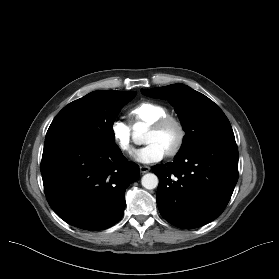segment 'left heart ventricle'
Instances as JSON below:
<instances>
[{"instance_id":"b2bd125f","label":"left heart ventricle","mask_w":279,"mask_h":279,"mask_svg":"<svg viewBox=\"0 0 279 279\" xmlns=\"http://www.w3.org/2000/svg\"><path fill=\"white\" fill-rule=\"evenodd\" d=\"M177 136L178 131L173 125H168L160 131L149 129L145 137V143H157L166 152L174 145L177 140Z\"/></svg>"}]
</instances>
